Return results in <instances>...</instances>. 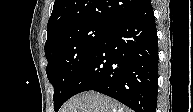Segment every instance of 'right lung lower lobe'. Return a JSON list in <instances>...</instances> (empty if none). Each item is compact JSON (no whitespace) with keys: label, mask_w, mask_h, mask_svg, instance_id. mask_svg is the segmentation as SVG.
<instances>
[{"label":"right lung lower lobe","mask_w":193,"mask_h":112,"mask_svg":"<svg viewBox=\"0 0 193 112\" xmlns=\"http://www.w3.org/2000/svg\"><path fill=\"white\" fill-rule=\"evenodd\" d=\"M158 40L150 0L112 24L79 70L68 99L88 90L136 112H156Z\"/></svg>","instance_id":"obj_1"}]
</instances>
